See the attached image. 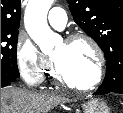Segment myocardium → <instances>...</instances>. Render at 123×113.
Segmentation results:
<instances>
[{
  "label": "myocardium",
  "instance_id": "myocardium-1",
  "mask_svg": "<svg viewBox=\"0 0 123 113\" xmlns=\"http://www.w3.org/2000/svg\"><path fill=\"white\" fill-rule=\"evenodd\" d=\"M76 41H85L87 42L92 49L95 52L96 58H97V72L94 77V79L86 84V85H80L77 84L70 79L66 77L63 70L61 69L60 65L57 63V61L52 57V64H53V74L54 78L61 84L68 86L70 88H73L75 90L81 91V92H87L95 89L102 81L104 77V71H105V55L104 52L99 45V43L90 35L85 33H74L70 36H68L65 40V44H72Z\"/></svg>",
  "mask_w": 123,
  "mask_h": 113
}]
</instances>
